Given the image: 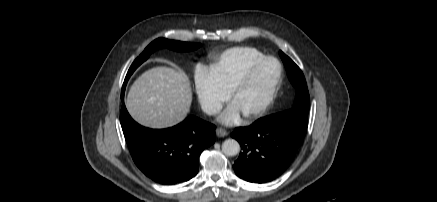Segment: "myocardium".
<instances>
[{"label": "myocardium", "mask_w": 437, "mask_h": 202, "mask_svg": "<svg viewBox=\"0 0 437 202\" xmlns=\"http://www.w3.org/2000/svg\"><path fill=\"white\" fill-rule=\"evenodd\" d=\"M268 61H273L277 65V73L276 76L271 83L267 96L264 101L254 110L244 114L245 118L248 120L256 119L263 115L272 105L275 100L279 85L282 79V65L279 60L273 56H264L256 61H254L244 72V74L239 78V80L235 83L233 88L231 89V98L232 100L240 93V91L250 82L256 70L264 63Z\"/></svg>", "instance_id": "myocardium-1"}]
</instances>
